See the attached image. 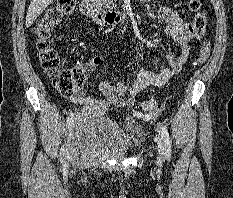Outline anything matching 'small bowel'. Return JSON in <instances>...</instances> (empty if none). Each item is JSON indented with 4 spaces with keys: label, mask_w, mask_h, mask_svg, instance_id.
<instances>
[{
    "label": "small bowel",
    "mask_w": 233,
    "mask_h": 198,
    "mask_svg": "<svg viewBox=\"0 0 233 198\" xmlns=\"http://www.w3.org/2000/svg\"><path fill=\"white\" fill-rule=\"evenodd\" d=\"M139 1L145 3L148 0ZM162 18L167 24L165 35L175 41L180 48L178 56L171 53L167 54V67L159 71L141 69L130 83L119 81L113 86L109 82L103 81L99 86L103 99L88 96L82 88L77 87L71 95H68L69 100L74 104L83 106L86 110L93 109L101 113L105 112L110 106L131 107L134 105L136 97L144 89L163 86L174 75L178 74L188 60L189 42L195 36L193 25L184 22L179 14L169 7L163 9ZM151 54L153 55L154 52H151ZM101 63L102 58L100 56H93L87 62L81 64L80 69L83 74H89Z\"/></svg>",
    "instance_id": "small-bowel-1"
}]
</instances>
